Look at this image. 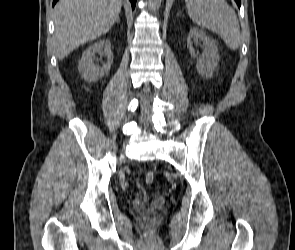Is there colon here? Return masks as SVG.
<instances>
[{"instance_id":"obj_1","label":"colon","mask_w":295,"mask_h":250,"mask_svg":"<svg viewBox=\"0 0 295 250\" xmlns=\"http://www.w3.org/2000/svg\"><path fill=\"white\" fill-rule=\"evenodd\" d=\"M155 175L152 171H149L145 174V183L151 184L154 181Z\"/></svg>"}]
</instances>
